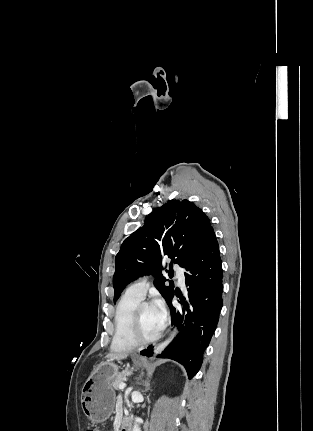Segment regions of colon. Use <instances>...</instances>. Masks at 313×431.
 <instances>
[{
	"mask_svg": "<svg viewBox=\"0 0 313 431\" xmlns=\"http://www.w3.org/2000/svg\"><path fill=\"white\" fill-rule=\"evenodd\" d=\"M87 431H99V430H97V429H89Z\"/></svg>",
	"mask_w": 313,
	"mask_h": 431,
	"instance_id": "5ec220e1",
	"label": "colon"
}]
</instances>
